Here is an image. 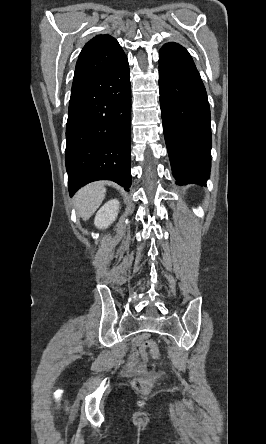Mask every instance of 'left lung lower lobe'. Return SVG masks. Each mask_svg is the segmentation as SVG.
<instances>
[{"label": "left lung lower lobe", "instance_id": "left-lung-lower-lobe-1", "mask_svg": "<svg viewBox=\"0 0 266 444\" xmlns=\"http://www.w3.org/2000/svg\"><path fill=\"white\" fill-rule=\"evenodd\" d=\"M163 130L174 178L206 185L211 165L210 108L193 61L159 53Z\"/></svg>", "mask_w": 266, "mask_h": 444}]
</instances>
